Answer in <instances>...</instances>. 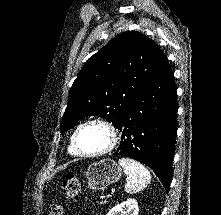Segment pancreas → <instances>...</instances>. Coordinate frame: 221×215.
<instances>
[{
    "label": "pancreas",
    "mask_w": 221,
    "mask_h": 215,
    "mask_svg": "<svg viewBox=\"0 0 221 215\" xmlns=\"http://www.w3.org/2000/svg\"><path fill=\"white\" fill-rule=\"evenodd\" d=\"M106 203V201H101L100 202V205H103V204H105Z\"/></svg>",
    "instance_id": "cf45deb5"
}]
</instances>
